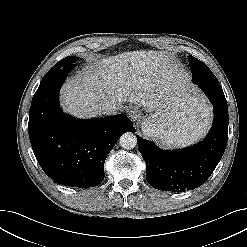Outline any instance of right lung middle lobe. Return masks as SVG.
I'll use <instances>...</instances> for the list:
<instances>
[{"label":"right lung middle lobe","mask_w":247,"mask_h":247,"mask_svg":"<svg viewBox=\"0 0 247 247\" xmlns=\"http://www.w3.org/2000/svg\"><path fill=\"white\" fill-rule=\"evenodd\" d=\"M78 61V58L75 56H68L61 61H59L57 64H55L50 70H56L61 68H68L72 69L75 66V62Z\"/></svg>","instance_id":"right-lung-middle-lobe-1"}]
</instances>
